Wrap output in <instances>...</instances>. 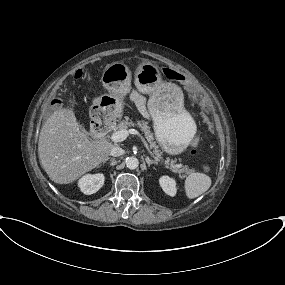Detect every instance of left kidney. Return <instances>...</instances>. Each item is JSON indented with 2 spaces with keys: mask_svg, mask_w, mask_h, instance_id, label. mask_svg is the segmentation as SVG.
<instances>
[{
  "mask_svg": "<svg viewBox=\"0 0 285 285\" xmlns=\"http://www.w3.org/2000/svg\"><path fill=\"white\" fill-rule=\"evenodd\" d=\"M160 186L162 187L163 191L170 196H175L177 192L176 182L173 178L169 176H162L159 179Z\"/></svg>",
  "mask_w": 285,
  "mask_h": 285,
  "instance_id": "left-kidney-1",
  "label": "left kidney"
}]
</instances>
